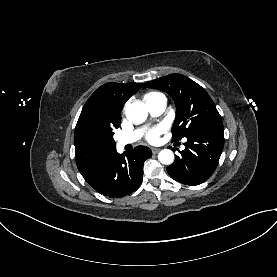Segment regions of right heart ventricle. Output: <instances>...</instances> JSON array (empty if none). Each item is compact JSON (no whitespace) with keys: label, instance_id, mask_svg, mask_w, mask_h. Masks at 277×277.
<instances>
[{"label":"right heart ventricle","instance_id":"e07e8e85","mask_svg":"<svg viewBox=\"0 0 277 277\" xmlns=\"http://www.w3.org/2000/svg\"><path fill=\"white\" fill-rule=\"evenodd\" d=\"M160 95H161V94H159V93L152 92V93H149V94H147V95L145 96V100L147 101V100H149V99H151V98H153V97L160 96Z\"/></svg>","mask_w":277,"mask_h":277}]
</instances>
